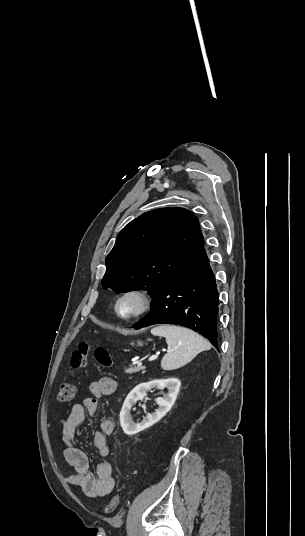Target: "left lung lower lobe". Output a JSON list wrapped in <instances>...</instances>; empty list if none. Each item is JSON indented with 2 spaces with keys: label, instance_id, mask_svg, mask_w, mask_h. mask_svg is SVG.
Returning <instances> with one entry per match:
<instances>
[{
  "label": "left lung lower lobe",
  "instance_id": "obj_1",
  "mask_svg": "<svg viewBox=\"0 0 305 536\" xmlns=\"http://www.w3.org/2000/svg\"><path fill=\"white\" fill-rule=\"evenodd\" d=\"M219 295L205 249L153 297L151 312L133 327L177 324L205 336L219 351L217 313Z\"/></svg>",
  "mask_w": 305,
  "mask_h": 536
}]
</instances>
